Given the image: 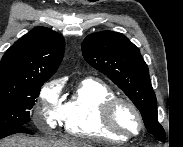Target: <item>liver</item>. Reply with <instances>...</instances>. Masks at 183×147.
<instances>
[{
  "label": "liver",
  "instance_id": "1",
  "mask_svg": "<svg viewBox=\"0 0 183 147\" xmlns=\"http://www.w3.org/2000/svg\"><path fill=\"white\" fill-rule=\"evenodd\" d=\"M0 147H92L90 144L76 139H46L24 136H13L0 142Z\"/></svg>",
  "mask_w": 183,
  "mask_h": 147
}]
</instances>
